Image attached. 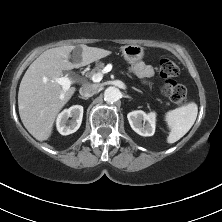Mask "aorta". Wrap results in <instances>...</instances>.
Segmentation results:
<instances>
[{
  "mask_svg": "<svg viewBox=\"0 0 222 222\" xmlns=\"http://www.w3.org/2000/svg\"><path fill=\"white\" fill-rule=\"evenodd\" d=\"M121 95V92L118 88L116 87H108L105 91H104V100L107 103H114L116 101L119 100Z\"/></svg>",
  "mask_w": 222,
  "mask_h": 222,
  "instance_id": "762f6f07",
  "label": "aorta"
}]
</instances>
